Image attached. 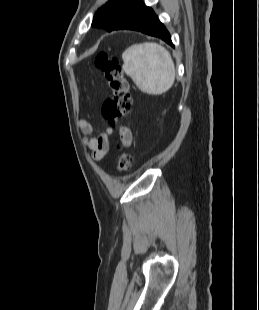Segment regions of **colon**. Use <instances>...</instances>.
Masks as SVG:
<instances>
[{"label": "colon", "mask_w": 259, "mask_h": 310, "mask_svg": "<svg viewBox=\"0 0 259 310\" xmlns=\"http://www.w3.org/2000/svg\"><path fill=\"white\" fill-rule=\"evenodd\" d=\"M95 65L110 90V97L102 104L101 114L108 126L116 129L131 110L129 83L119 60L113 54L100 52L95 58ZM117 147L121 151L118 172L127 173L132 169V155L124 150L122 142L119 141Z\"/></svg>", "instance_id": "1"}]
</instances>
